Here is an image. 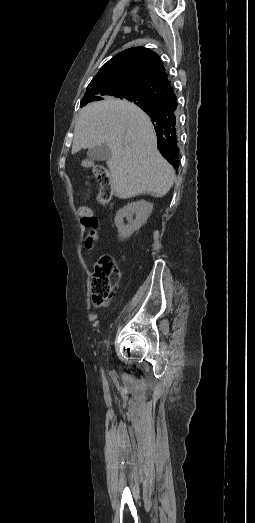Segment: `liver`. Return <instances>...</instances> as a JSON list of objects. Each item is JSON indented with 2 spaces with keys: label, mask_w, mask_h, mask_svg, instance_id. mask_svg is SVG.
Wrapping results in <instances>:
<instances>
[{
  "label": "liver",
  "mask_w": 255,
  "mask_h": 523,
  "mask_svg": "<svg viewBox=\"0 0 255 523\" xmlns=\"http://www.w3.org/2000/svg\"><path fill=\"white\" fill-rule=\"evenodd\" d=\"M107 144L112 152L108 168L118 198L151 192L166 196L175 172L157 150L152 122L127 100H102L82 108L74 128L72 154L82 148Z\"/></svg>",
  "instance_id": "liver-1"
}]
</instances>
